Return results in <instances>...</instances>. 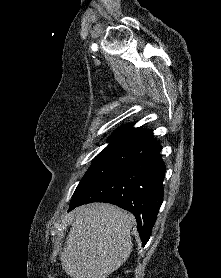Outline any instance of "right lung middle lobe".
Returning a JSON list of instances; mask_svg holds the SVG:
<instances>
[{
    "label": "right lung middle lobe",
    "instance_id": "dd1d6c3e",
    "mask_svg": "<svg viewBox=\"0 0 221 278\" xmlns=\"http://www.w3.org/2000/svg\"><path fill=\"white\" fill-rule=\"evenodd\" d=\"M134 156L135 148L111 142L95 157L92 165L77 186L72 197L71 205L81 200L93 186L107 175L130 162Z\"/></svg>",
    "mask_w": 221,
    "mask_h": 278
}]
</instances>
